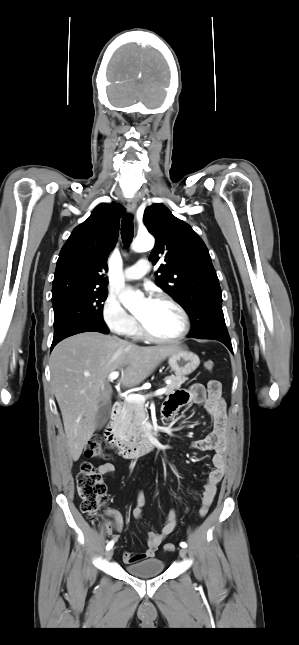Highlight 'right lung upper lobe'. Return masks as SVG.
<instances>
[{
	"label": "right lung upper lobe",
	"instance_id": "1",
	"mask_svg": "<svg viewBox=\"0 0 299 645\" xmlns=\"http://www.w3.org/2000/svg\"><path fill=\"white\" fill-rule=\"evenodd\" d=\"M124 212L120 204H100L73 230L59 254L52 297L69 290L106 289L107 258L117 242Z\"/></svg>",
	"mask_w": 299,
	"mask_h": 645
}]
</instances>
